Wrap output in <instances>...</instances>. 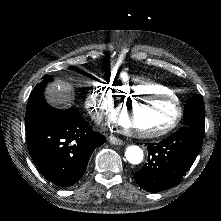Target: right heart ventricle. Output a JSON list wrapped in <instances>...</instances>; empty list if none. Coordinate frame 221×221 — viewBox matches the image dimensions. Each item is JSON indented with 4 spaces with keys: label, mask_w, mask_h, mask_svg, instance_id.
Segmentation results:
<instances>
[{
    "label": "right heart ventricle",
    "mask_w": 221,
    "mask_h": 221,
    "mask_svg": "<svg viewBox=\"0 0 221 221\" xmlns=\"http://www.w3.org/2000/svg\"><path fill=\"white\" fill-rule=\"evenodd\" d=\"M112 76L115 82L113 81ZM107 78L108 88L112 90L114 89L115 94L118 96L137 92L138 94H151L158 99L171 100L175 98V93L177 92V90L175 92L174 88L163 87L159 82L151 84L152 82H155V80L146 79L143 76L135 75L133 73H129L125 77L124 74L119 71L117 73L112 71L108 73Z\"/></svg>",
    "instance_id": "obj_1"
}]
</instances>
